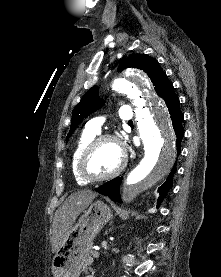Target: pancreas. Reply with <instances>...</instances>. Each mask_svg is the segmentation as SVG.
Listing matches in <instances>:
<instances>
[{"mask_svg":"<svg viewBox=\"0 0 221 277\" xmlns=\"http://www.w3.org/2000/svg\"><path fill=\"white\" fill-rule=\"evenodd\" d=\"M89 254H90V256L86 259V261L84 263V266H83L84 270H91V266L93 264V257L92 256H95V252L90 251Z\"/></svg>","mask_w":221,"mask_h":277,"instance_id":"obj_1","label":"pancreas"}]
</instances>
